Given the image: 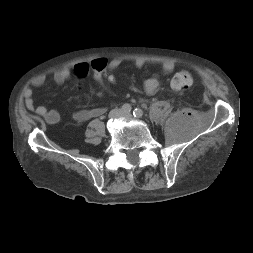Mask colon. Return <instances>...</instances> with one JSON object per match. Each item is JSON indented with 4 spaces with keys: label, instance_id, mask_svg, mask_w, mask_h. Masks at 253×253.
<instances>
[{
    "label": "colon",
    "instance_id": "colon-1",
    "mask_svg": "<svg viewBox=\"0 0 253 253\" xmlns=\"http://www.w3.org/2000/svg\"><path fill=\"white\" fill-rule=\"evenodd\" d=\"M90 68L94 79L105 88L107 84H114L116 77L108 69V61L105 58H96L91 61ZM193 77L187 72H179L171 80V86L176 90H186L193 85Z\"/></svg>",
    "mask_w": 253,
    "mask_h": 253
}]
</instances>
